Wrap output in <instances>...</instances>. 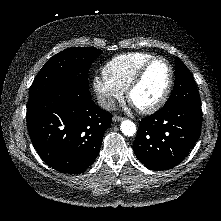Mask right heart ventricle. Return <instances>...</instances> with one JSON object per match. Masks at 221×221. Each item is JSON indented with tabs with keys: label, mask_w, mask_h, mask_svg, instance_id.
<instances>
[{
	"label": "right heart ventricle",
	"mask_w": 221,
	"mask_h": 221,
	"mask_svg": "<svg viewBox=\"0 0 221 221\" xmlns=\"http://www.w3.org/2000/svg\"><path fill=\"white\" fill-rule=\"evenodd\" d=\"M153 55L146 52H131L118 55L106 63L103 75L125 91L137 70Z\"/></svg>",
	"instance_id": "right-heart-ventricle-1"
}]
</instances>
